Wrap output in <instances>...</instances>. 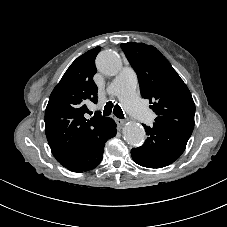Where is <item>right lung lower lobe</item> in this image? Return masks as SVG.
<instances>
[{
    "label": "right lung lower lobe",
    "instance_id": "98d812e1",
    "mask_svg": "<svg viewBox=\"0 0 227 227\" xmlns=\"http://www.w3.org/2000/svg\"><path fill=\"white\" fill-rule=\"evenodd\" d=\"M116 132L115 121L107 118L88 145L61 159L60 164L73 172H84L95 168L102 160L105 142L114 137Z\"/></svg>",
    "mask_w": 227,
    "mask_h": 227
}]
</instances>
